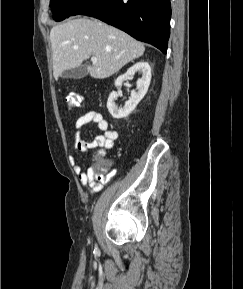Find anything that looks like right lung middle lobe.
Listing matches in <instances>:
<instances>
[{
	"mask_svg": "<svg viewBox=\"0 0 243 289\" xmlns=\"http://www.w3.org/2000/svg\"><path fill=\"white\" fill-rule=\"evenodd\" d=\"M86 0H51L50 7L55 21H62L68 18Z\"/></svg>",
	"mask_w": 243,
	"mask_h": 289,
	"instance_id": "obj_1",
	"label": "right lung middle lobe"
}]
</instances>
